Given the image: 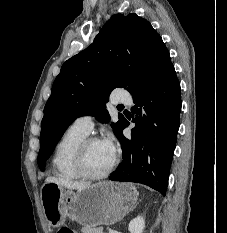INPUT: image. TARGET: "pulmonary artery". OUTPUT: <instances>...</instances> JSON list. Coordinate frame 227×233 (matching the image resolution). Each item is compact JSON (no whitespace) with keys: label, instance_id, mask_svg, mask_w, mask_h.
Instances as JSON below:
<instances>
[{"label":"pulmonary artery","instance_id":"obj_1","mask_svg":"<svg viewBox=\"0 0 227 233\" xmlns=\"http://www.w3.org/2000/svg\"><path fill=\"white\" fill-rule=\"evenodd\" d=\"M115 102L131 104L132 100L128 94L123 93L115 98ZM72 127L81 132L89 134L93 129V118L90 115L80 116L73 122Z\"/></svg>","mask_w":227,"mask_h":233}]
</instances>
